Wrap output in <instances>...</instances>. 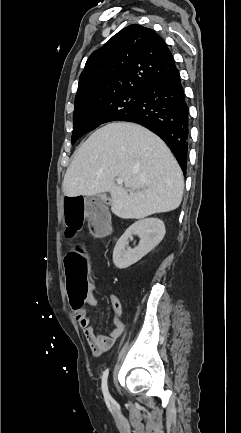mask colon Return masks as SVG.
I'll return each instance as SVG.
<instances>
[{"label": "colon", "instance_id": "1", "mask_svg": "<svg viewBox=\"0 0 241 433\" xmlns=\"http://www.w3.org/2000/svg\"><path fill=\"white\" fill-rule=\"evenodd\" d=\"M64 207L65 228L68 229V239H77L78 232L84 226L85 214H90V226L97 235H102L107 229V214L110 206L103 205L102 200H83L84 198H71L65 192ZM61 267H64L66 288L69 292V305L73 312H82L83 304L91 296V285L88 275L89 262L83 250L71 251L66 258H61Z\"/></svg>", "mask_w": 241, "mask_h": 433}]
</instances>
